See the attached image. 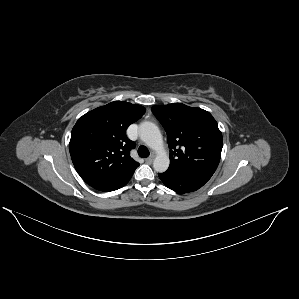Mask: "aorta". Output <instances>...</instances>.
<instances>
[{
  "label": "aorta",
  "instance_id": "obj_1",
  "mask_svg": "<svg viewBox=\"0 0 299 299\" xmlns=\"http://www.w3.org/2000/svg\"><path fill=\"white\" fill-rule=\"evenodd\" d=\"M141 140L156 152L153 168L156 172L163 173L169 167V157L164 148L163 137L160 129L153 122H143L139 129Z\"/></svg>",
  "mask_w": 299,
  "mask_h": 299
}]
</instances>
